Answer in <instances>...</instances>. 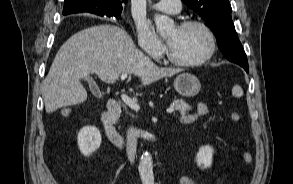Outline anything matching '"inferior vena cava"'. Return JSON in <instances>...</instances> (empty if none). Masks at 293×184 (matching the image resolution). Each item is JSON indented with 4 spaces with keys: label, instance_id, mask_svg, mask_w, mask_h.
<instances>
[{
    "label": "inferior vena cava",
    "instance_id": "obj_1",
    "mask_svg": "<svg viewBox=\"0 0 293 184\" xmlns=\"http://www.w3.org/2000/svg\"><path fill=\"white\" fill-rule=\"evenodd\" d=\"M137 147V133L133 128L127 131V156L131 163H134Z\"/></svg>",
    "mask_w": 293,
    "mask_h": 184
}]
</instances>
